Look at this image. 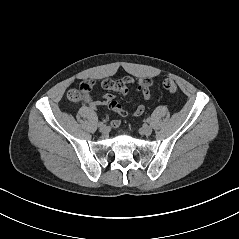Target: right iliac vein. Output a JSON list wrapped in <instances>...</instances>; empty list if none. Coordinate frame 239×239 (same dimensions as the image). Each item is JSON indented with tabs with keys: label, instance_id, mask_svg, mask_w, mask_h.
<instances>
[{
	"label": "right iliac vein",
	"instance_id": "1",
	"mask_svg": "<svg viewBox=\"0 0 239 239\" xmlns=\"http://www.w3.org/2000/svg\"><path fill=\"white\" fill-rule=\"evenodd\" d=\"M99 131H100L101 133L105 134V133H107L108 128H107L106 125H102V126L99 127Z\"/></svg>",
	"mask_w": 239,
	"mask_h": 239
}]
</instances>
